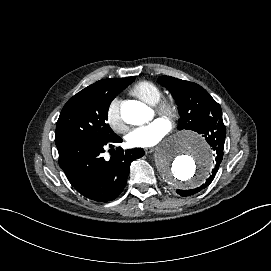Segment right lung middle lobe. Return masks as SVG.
I'll return each instance as SVG.
<instances>
[{
  "instance_id": "obj_1",
  "label": "right lung middle lobe",
  "mask_w": 271,
  "mask_h": 271,
  "mask_svg": "<svg viewBox=\"0 0 271 271\" xmlns=\"http://www.w3.org/2000/svg\"><path fill=\"white\" fill-rule=\"evenodd\" d=\"M134 79H103L74 95L64 105L57 121L56 146L78 138L108 139L114 136L105 122L109 105Z\"/></svg>"
}]
</instances>
